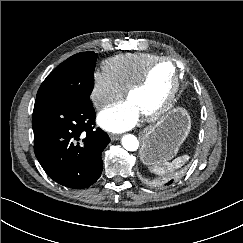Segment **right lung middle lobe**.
<instances>
[{"label": "right lung middle lobe", "instance_id": "obj_1", "mask_svg": "<svg viewBox=\"0 0 243 243\" xmlns=\"http://www.w3.org/2000/svg\"><path fill=\"white\" fill-rule=\"evenodd\" d=\"M96 59L97 54L92 51L68 58L47 76L36 99H51L77 106L90 103Z\"/></svg>", "mask_w": 243, "mask_h": 243}]
</instances>
